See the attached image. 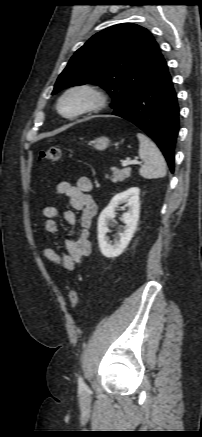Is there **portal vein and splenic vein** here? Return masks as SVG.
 Here are the masks:
<instances>
[{
  "label": "portal vein and splenic vein",
  "mask_w": 202,
  "mask_h": 437,
  "mask_svg": "<svg viewBox=\"0 0 202 437\" xmlns=\"http://www.w3.org/2000/svg\"><path fill=\"white\" fill-rule=\"evenodd\" d=\"M141 163H142V162L137 161V160H133V161L126 160V161H123V162H122V166H123V167H127V166H129V165H131V164L140 165Z\"/></svg>",
  "instance_id": "18ae733b"
}]
</instances>
